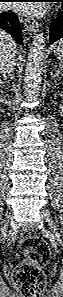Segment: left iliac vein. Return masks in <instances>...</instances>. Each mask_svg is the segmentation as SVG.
I'll list each match as a JSON object with an SVG mask.
<instances>
[{"label":"left iliac vein","mask_w":63,"mask_h":297,"mask_svg":"<svg viewBox=\"0 0 63 297\" xmlns=\"http://www.w3.org/2000/svg\"><path fill=\"white\" fill-rule=\"evenodd\" d=\"M42 216L49 223L50 228L53 230V232H55V227H54V225L52 223V220L50 218V215L46 211H42Z\"/></svg>","instance_id":"left-iliac-vein-1"}]
</instances>
